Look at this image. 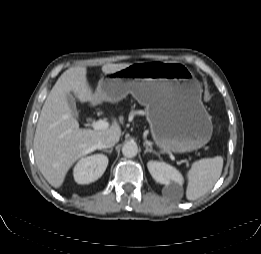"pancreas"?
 Returning a JSON list of instances; mask_svg holds the SVG:
<instances>
[{
	"label": "pancreas",
	"instance_id": "pancreas-1",
	"mask_svg": "<svg viewBox=\"0 0 261 254\" xmlns=\"http://www.w3.org/2000/svg\"><path fill=\"white\" fill-rule=\"evenodd\" d=\"M134 113H135V111H131V112H130V115H133Z\"/></svg>",
	"mask_w": 261,
	"mask_h": 254
}]
</instances>
